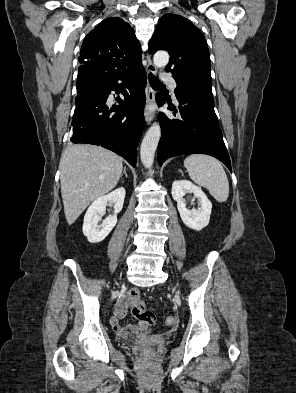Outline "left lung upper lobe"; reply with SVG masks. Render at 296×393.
<instances>
[{
	"mask_svg": "<svg viewBox=\"0 0 296 393\" xmlns=\"http://www.w3.org/2000/svg\"><path fill=\"white\" fill-rule=\"evenodd\" d=\"M167 50L170 54L166 71L177 83L175 94L186 91L212 93L211 63L207 42L201 31L189 20L176 14H165L149 42V51Z\"/></svg>",
	"mask_w": 296,
	"mask_h": 393,
	"instance_id": "obj_1",
	"label": "left lung upper lobe"
}]
</instances>
